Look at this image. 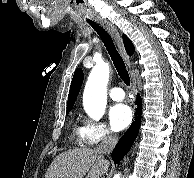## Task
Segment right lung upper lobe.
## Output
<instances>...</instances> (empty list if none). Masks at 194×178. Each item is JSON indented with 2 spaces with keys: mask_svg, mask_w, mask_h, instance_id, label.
<instances>
[{
  "mask_svg": "<svg viewBox=\"0 0 194 178\" xmlns=\"http://www.w3.org/2000/svg\"><path fill=\"white\" fill-rule=\"evenodd\" d=\"M123 42L126 48V51L129 55H132L134 52V45L129 40L126 35H123ZM83 82V71L81 68H78L74 72V76L71 82L70 91L68 95L67 111H70L75 103L77 95L79 94L81 85Z\"/></svg>",
  "mask_w": 194,
  "mask_h": 178,
  "instance_id": "right-lung-upper-lobe-1",
  "label": "right lung upper lobe"
}]
</instances>
